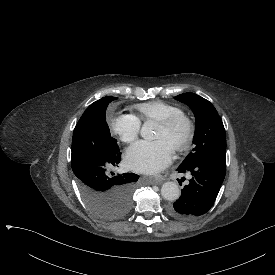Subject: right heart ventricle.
<instances>
[{
  "label": "right heart ventricle",
  "instance_id": "right-heart-ventricle-1",
  "mask_svg": "<svg viewBox=\"0 0 275 275\" xmlns=\"http://www.w3.org/2000/svg\"><path fill=\"white\" fill-rule=\"evenodd\" d=\"M134 108L139 112V119L146 122H161L174 115L182 114L179 107L159 100L138 104Z\"/></svg>",
  "mask_w": 275,
  "mask_h": 275
}]
</instances>
